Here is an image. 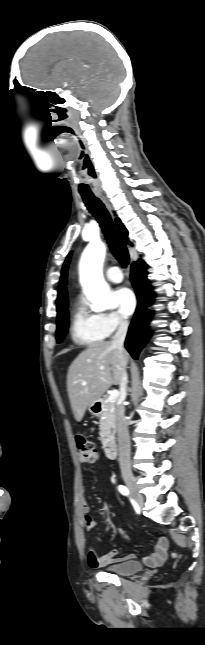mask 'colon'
<instances>
[{
    "mask_svg": "<svg viewBox=\"0 0 205 645\" xmlns=\"http://www.w3.org/2000/svg\"><path fill=\"white\" fill-rule=\"evenodd\" d=\"M76 446L81 457L93 462L98 458V453L94 442L83 435L75 437Z\"/></svg>",
    "mask_w": 205,
    "mask_h": 645,
    "instance_id": "1",
    "label": "colon"
}]
</instances>
